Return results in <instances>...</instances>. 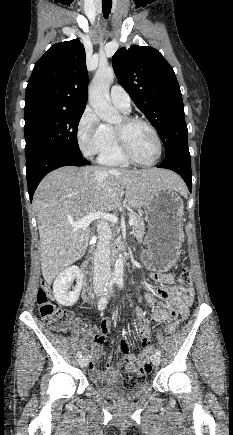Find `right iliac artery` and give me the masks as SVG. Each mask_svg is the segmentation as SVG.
<instances>
[{
    "mask_svg": "<svg viewBox=\"0 0 233 435\" xmlns=\"http://www.w3.org/2000/svg\"><path fill=\"white\" fill-rule=\"evenodd\" d=\"M117 281L116 278H112L109 283H107V288H105V293L104 295L100 298L99 302H98V309L99 310H103L105 309L106 305H107V294L109 289L114 285V283ZM77 356L81 357L82 356V352L78 351L77 352Z\"/></svg>",
    "mask_w": 233,
    "mask_h": 435,
    "instance_id": "1",
    "label": "right iliac artery"
}]
</instances>
